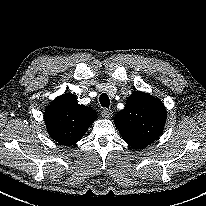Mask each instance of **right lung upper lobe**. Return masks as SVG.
<instances>
[{
  "label": "right lung upper lobe",
  "instance_id": "1",
  "mask_svg": "<svg viewBox=\"0 0 206 206\" xmlns=\"http://www.w3.org/2000/svg\"><path fill=\"white\" fill-rule=\"evenodd\" d=\"M97 114L90 107L77 103L73 94H63L45 109L44 120L49 135L59 144L71 146L78 142Z\"/></svg>",
  "mask_w": 206,
  "mask_h": 206
}]
</instances>
